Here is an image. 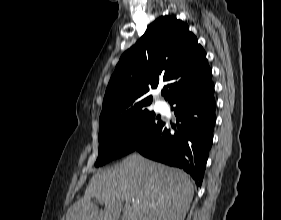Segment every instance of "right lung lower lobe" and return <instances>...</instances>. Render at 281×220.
<instances>
[{
	"mask_svg": "<svg viewBox=\"0 0 281 220\" xmlns=\"http://www.w3.org/2000/svg\"><path fill=\"white\" fill-rule=\"evenodd\" d=\"M176 105L177 130L163 122L159 130L134 151L170 166L179 167L201 186L216 121L214 84L182 92L172 98Z\"/></svg>",
	"mask_w": 281,
	"mask_h": 220,
	"instance_id": "obj_1",
	"label": "right lung lower lobe"
}]
</instances>
